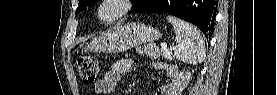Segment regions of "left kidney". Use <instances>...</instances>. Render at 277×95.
<instances>
[{"label":"left kidney","instance_id":"obj_1","mask_svg":"<svg viewBox=\"0 0 277 95\" xmlns=\"http://www.w3.org/2000/svg\"><path fill=\"white\" fill-rule=\"evenodd\" d=\"M174 69V79L172 83L169 85L167 92L174 93L179 92L184 86V81L188 78V72H178L176 68Z\"/></svg>","mask_w":277,"mask_h":95}]
</instances>
